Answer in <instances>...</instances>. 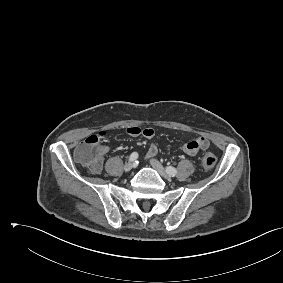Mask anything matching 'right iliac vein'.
<instances>
[{
  "mask_svg": "<svg viewBox=\"0 0 283 283\" xmlns=\"http://www.w3.org/2000/svg\"><path fill=\"white\" fill-rule=\"evenodd\" d=\"M132 168H133V163H132V162H128V163H126V164L124 165V171H125V172L131 171Z\"/></svg>",
  "mask_w": 283,
  "mask_h": 283,
  "instance_id": "right-iliac-vein-1",
  "label": "right iliac vein"
}]
</instances>
